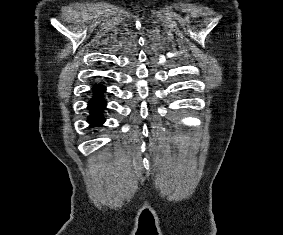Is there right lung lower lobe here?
<instances>
[{"mask_svg":"<svg viewBox=\"0 0 283 235\" xmlns=\"http://www.w3.org/2000/svg\"><path fill=\"white\" fill-rule=\"evenodd\" d=\"M105 91V88L102 85H97L94 88V96L89 101V109L91 111L88 118V122L93 125H101L104 123L105 118L102 116L101 112L106 106V102L102 97V93Z\"/></svg>","mask_w":283,"mask_h":235,"instance_id":"right-lung-lower-lobe-1","label":"right lung lower lobe"}]
</instances>
